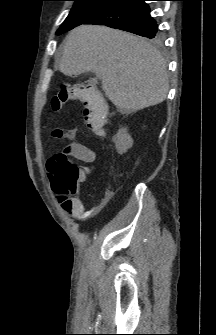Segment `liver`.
<instances>
[{
  "instance_id": "6515ba94",
  "label": "liver",
  "mask_w": 216,
  "mask_h": 335,
  "mask_svg": "<svg viewBox=\"0 0 216 335\" xmlns=\"http://www.w3.org/2000/svg\"><path fill=\"white\" fill-rule=\"evenodd\" d=\"M59 70L67 76L96 73L106 96L124 112L163 102L169 89L160 52L141 37L106 26L74 28L64 41Z\"/></svg>"
}]
</instances>
